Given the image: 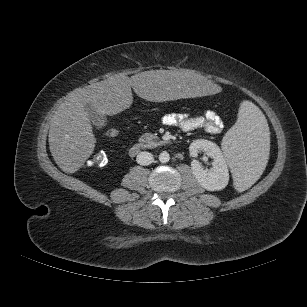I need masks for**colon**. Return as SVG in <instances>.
Instances as JSON below:
<instances>
[{
	"label": "colon",
	"mask_w": 307,
	"mask_h": 307,
	"mask_svg": "<svg viewBox=\"0 0 307 307\" xmlns=\"http://www.w3.org/2000/svg\"><path fill=\"white\" fill-rule=\"evenodd\" d=\"M120 131L117 128H109L106 135L110 138H116ZM87 166L90 168L103 167L109 163V156L104 151H97L87 159Z\"/></svg>",
	"instance_id": "1"
}]
</instances>
